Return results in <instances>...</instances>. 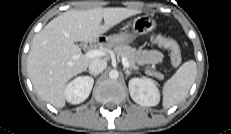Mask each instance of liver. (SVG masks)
Returning <instances> with one entry per match:
<instances>
[{"label": "liver", "mask_w": 231, "mask_h": 134, "mask_svg": "<svg viewBox=\"0 0 231 134\" xmlns=\"http://www.w3.org/2000/svg\"><path fill=\"white\" fill-rule=\"evenodd\" d=\"M138 13L121 7L69 10L51 20L34 36L27 59L28 75L37 94L57 108L64 107L67 82L94 60L81 54L75 42H94Z\"/></svg>", "instance_id": "1"}]
</instances>
